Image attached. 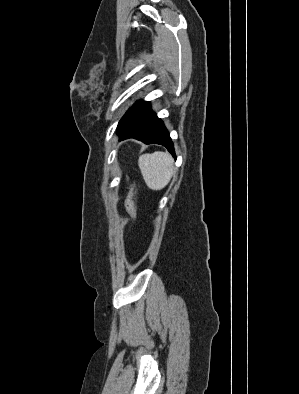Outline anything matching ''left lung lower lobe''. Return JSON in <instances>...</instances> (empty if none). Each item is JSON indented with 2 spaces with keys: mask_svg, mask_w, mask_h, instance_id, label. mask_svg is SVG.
Here are the masks:
<instances>
[{
  "mask_svg": "<svg viewBox=\"0 0 299 394\" xmlns=\"http://www.w3.org/2000/svg\"><path fill=\"white\" fill-rule=\"evenodd\" d=\"M117 134L120 140L135 138L145 144L163 145L175 157L169 132L150 109V102L137 101L118 123Z\"/></svg>",
  "mask_w": 299,
  "mask_h": 394,
  "instance_id": "left-lung-lower-lobe-1",
  "label": "left lung lower lobe"
}]
</instances>
